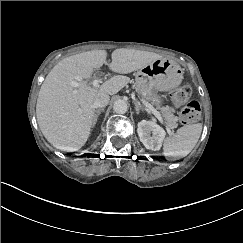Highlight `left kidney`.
<instances>
[{
    "mask_svg": "<svg viewBox=\"0 0 243 243\" xmlns=\"http://www.w3.org/2000/svg\"><path fill=\"white\" fill-rule=\"evenodd\" d=\"M137 133L143 145L150 150H160L165 138V130L153 121L142 120L138 123Z\"/></svg>",
    "mask_w": 243,
    "mask_h": 243,
    "instance_id": "1",
    "label": "left kidney"
}]
</instances>
